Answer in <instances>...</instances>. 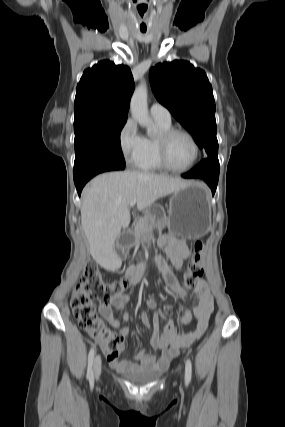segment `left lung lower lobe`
Returning <instances> with one entry per match:
<instances>
[{"instance_id":"obj_1","label":"left lung lower lobe","mask_w":285,"mask_h":427,"mask_svg":"<svg viewBox=\"0 0 285 427\" xmlns=\"http://www.w3.org/2000/svg\"><path fill=\"white\" fill-rule=\"evenodd\" d=\"M183 178H201L211 188L212 193L216 191L219 177L218 157H208L202 160L193 170L182 174Z\"/></svg>"}]
</instances>
